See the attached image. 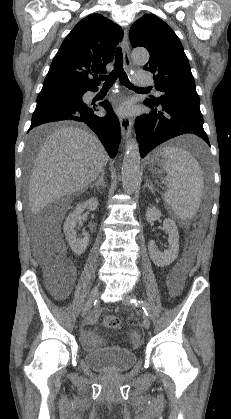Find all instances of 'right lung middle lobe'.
Listing matches in <instances>:
<instances>
[{"instance_id":"obj_1","label":"right lung middle lobe","mask_w":231,"mask_h":419,"mask_svg":"<svg viewBox=\"0 0 231 419\" xmlns=\"http://www.w3.org/2000/svg\"><path fill=\"white\" fill-rule=\"evenodd\" d=\"M81 94L80 89L62 86V85H52L43 87L41 92L37 97V102L53 100V99H70L78 100L79 95ZM38 140V139H37ZM35 140V142H37Z\"/></svg>"}]
</instances>
